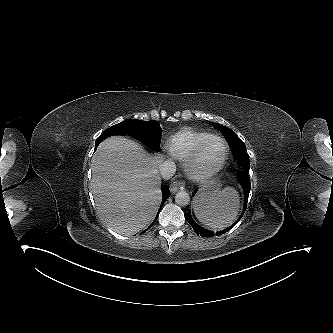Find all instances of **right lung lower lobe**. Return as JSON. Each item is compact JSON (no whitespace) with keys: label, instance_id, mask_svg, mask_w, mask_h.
<instances>
[{"label":"right lung lower lobe","instance_id":"right-lung-lower-lobe-1","mask_svg":"<svg viewBox=\"0 0 333 333\" xmlns=\"http://www.w3.org/2000/svg\"><path fill=\"white\" fill-rule=\"evenodd\" d=\"M112 135H113V134L104 131V132L98 137V139H97L96 142H95V150H96V148L98 147V145L100 144L101 141H103L104 139H106L107 137L112 136ZM162 193H163V200H162V203H161V206H160L159 212L157 213V216H156V218L154 219V221H153L152 224H154L155 221L157 220V218H158V216H159V213H160V211H161V208H162L163 204L165 203V201H166V200L169 198V196H170V191H169L168 188H163V189H162ZM152 224L149 226V228L152 226Z\"/></svg>","mask_w":333,"mask_h":333}]
</instances>
